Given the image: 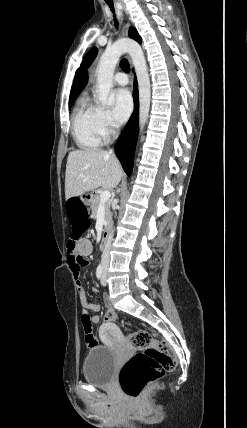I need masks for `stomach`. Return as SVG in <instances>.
<instances>
[{"instance_id": "stomach-1", "label": "stomach", "mask_w": 247, "mask_h": 428, "mask_svg": "<svg viewBox=\"0 0 247 428\" xmlns=\"http://www.w3.org/2000/svg\"><path fill=\"white\" fill-rule=\"evenodd\" d=\"M87 196H92V194H82L81 198L84 199V201H88Z\"/></svg>"}]
</instances>
